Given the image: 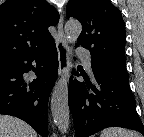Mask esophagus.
Segmentation results:
<instances>
[{"label":"esophagus","instance_id":"1","mask_svg":"<svg viewBox=\"0 0 144 137\" xmlns=\"http://www.w3.org/2000/svg\"><path fill=\"white\" fill-rule=\"evenodd\" d=\"M63 24L64 20L63 16H61L57 26V37L55 39V43L58 52V62H59L58 75L63 79H67L70 70V59H69L68 44L63 30Z\"/></svg>","mask_w":144,"mask_h":137}]
</instances>
